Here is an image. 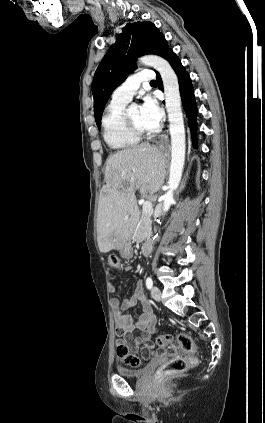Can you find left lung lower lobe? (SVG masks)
<instances>
[{
    "mask_svg": "<svg viewBox=\"0 0 265 423\" xmlns=\"http://www.w3.org/2000/svg\"><path fill=\"white\" fill-rule=\"evenodd\" d=\"M164 58L169 61L170 65L173 67L174 71L176 72L178 76L179 81V87H180V94L182 97L183 106L185 109V112L188 117V124L192 132V138H193V145H196V128H197V122H196V114H197V107L195 103L194 98V91L191 83V79L186 72L185 68L182 66L179 58L176 56V54L168 49L167 52L164 55ZM157 81L159 84V89H163L162 80L157 73Z\"/></svg>",
    "mask_w": 265,
    "mask_h": 423,
    "instance_id": "obj_1",
    "label": "left lung lower lobe"
}]
</instances>
